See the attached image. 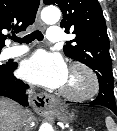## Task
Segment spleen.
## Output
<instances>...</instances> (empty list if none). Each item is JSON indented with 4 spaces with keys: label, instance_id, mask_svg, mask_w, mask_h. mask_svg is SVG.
I'll use <instances>...</instances> for the list:
<instances>
[{
    "label": "spleen",
    "instance_id": "3e777b00",
    "mask_svg": "<svg viewBox=\"0 0 117 131\" xmlns=\"http://www.w3.org/2000/svg\"><path fill=\"white\" fill-rule=\"evenodd\" d=\"M105 123H106V127H107L108 131H117V126H116L114 120L110 116L106 117Z\"/></svg>",
    "mask_w": 117,
    "mask_h": 131
}]
</instances>
